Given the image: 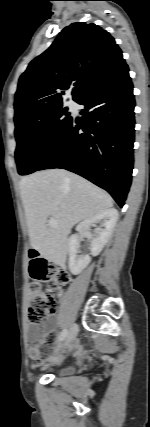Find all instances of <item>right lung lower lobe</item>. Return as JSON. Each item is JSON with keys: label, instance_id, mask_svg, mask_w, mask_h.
I'll list each match as a JSON object with an SVG mask.
<instances>
[{"label": "right lung lower lobe", "instance_id": "98d812e1", "mask_svg": "<svg viewBox=\"0 0 150 427\" xmlns=\"http://www.w3.org/2000/svg\"><path fill=\"white\" fill-rule=\"evenodd\" d=\"M128 66L88 91L71 124L37 170L64 168L107 190L122 207L132 180L134 95ZM82 130L83 132L79 131Z\"/></svg>", "mask_w": 150, "mask_h": 427}]
</instances>
